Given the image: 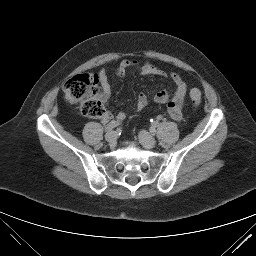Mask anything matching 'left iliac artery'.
<instances>
[{"label": "left iliac artery", "instance_id": "44dca946", "mask_svg": "<svg viewBox=\"0 0 256 256\" xmlns=\"http://www.w3.org/2000/svg\"><path fill=\"white\" fill-rule=\"evenodd\" d=\"M158 121H153L152 122V127L150 128V132H155V128L158 126Z\"/></svg>", "mask_w": 256, "mask_h": 256}]
</instances>
